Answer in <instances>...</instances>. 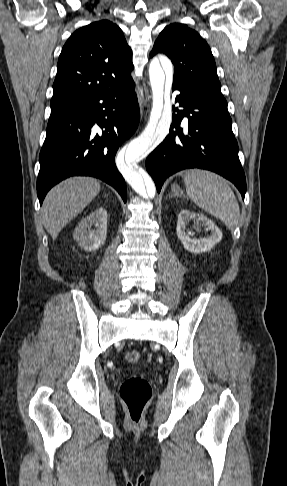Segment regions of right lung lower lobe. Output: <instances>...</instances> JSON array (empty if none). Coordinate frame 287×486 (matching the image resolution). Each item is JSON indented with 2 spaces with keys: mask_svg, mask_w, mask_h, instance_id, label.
Here are the masks:
<instances>
[{
  "mask_svg": "<svg viewBox=\"0 0 287 486\" xmlns=\"http://www.w3.org/2000/svg\"><path fill=\"white\" fill-rule=\"evenodd\" d=\"M134 82L94 94L65 110L51 113L40 152L37 195L63 179L82 175L99 178L127 200V189L115 165V155L139 123Z\"/></svg>",
  "mask_w": 287,
  "mask_h": 486,
  "instance_id": "98d812e1",
  "label": "right lung lower lobe"
}]
</instances>
